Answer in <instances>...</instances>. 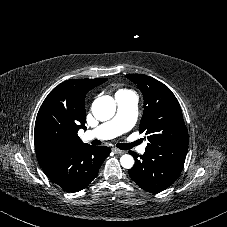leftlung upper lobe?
Returning a JSON list of instances; mask_svg holds the SVG:
<instances>
[{"mask_svg":"<svg viewBox=\"0 0 227 227\" xmlns=\"http://www.w3.org/2000/svg\"><path fill=\"white\" fill-rule=\"evenodd\" d=\"M142 91L144 113L139 131L148 136V146H188V131L180 105L172 91L158 80L142 75H126Z\"/></svg>","mask_w":227,"mask_h":227,"instance_id":"1","label":"left lung upper lobe"}]
</instances>
